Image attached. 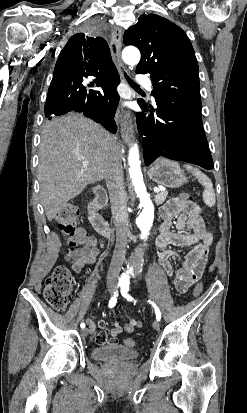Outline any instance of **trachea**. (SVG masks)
Returning a JSON list of instances; mask_svg holds the SVG:
<instances>
[{"instance_id": "1", "label": "trachea", "mask_w": 247, "mask_h": 413, "mask_svg": "<svg viewBox=\"0 0 247 413\" xmlns=\"http://www.w3.org/2000/svg\"><path fill=\"white\" fill-rule=\"evenodd\" d=\"M115 50V47H114ZM125 78L128 81L129 85L132 86V88H134L135 90H140L139 85H137V83H135L133 80H131V78H129L126 74H125Z\"/></svg>"}]
</instances>
